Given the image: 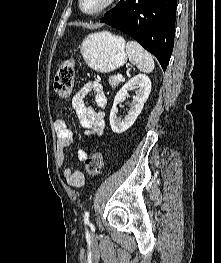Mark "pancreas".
<instances>
[{"label": "pancreas", "instance_id": "1", "mask_svg": "<svg viewBox=\"0 0 221 263\" xmlns=\"http://www.w3.org/2000/svg\"><path fill=\"white\" fill-rule=\"evenodd\" d=\"M120 83V80L116 76H110L109 77V84L112 88H116Z\"/></svg>", "mask_w": 221, "mask_h": 263}]
</instances>
